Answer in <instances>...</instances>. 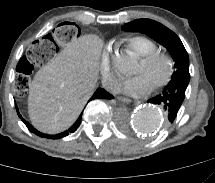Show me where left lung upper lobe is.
Segmentation results:
<instances>
[{
  "mask_svg": "<svg viewBox=\"0 0 215 183\" xmlns=\"http://www.w3.org/2000/svg\"><path fill=\"white\" fill-rule=\"evenodd\" d=\"M124 31L141 32L147 34L155 41L163 45L175 61V71L171 80H183L189 82V58L179 37L164 25L150 20L138 19L125 24Z\"/></svg>",
  "mask_w": 215,
  "mask_h": 183,
  "instance_id": "1",
  "label": "left lung upper lobe"
}]
</instances>
